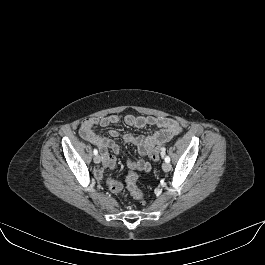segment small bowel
<instances>
[{
	"label": "small bowel",
	"mask_w": 265,
	"mask_h": 265,
	"mask_svg": "<svg viewBox=\"0 0 265 265\" xmlns=\"http://www.w3.org/2000/svg\"><path fill=\"white\" fill-rule=\"evenodd\" d=\"M120 118L116 114L103 116V117H93L85 120L81 127V136L88 142L98 146L102 151V160L105 167L113 168L115 166L116 160L114 155L107 152L111 150L115 154H119L120 146L112 139L104 138L98 135L93 128L97 125L101 127H107L110 125H115L119 123ZM125 122L127 125L143 128L146 126L157 127L158 130L148 136L126 134L123 140L126 144L134 145L140 155L146 156L150 155L151 151L160 145L165 144L173 136L177 135L181 131V127L177 121L158 116H135L127 115L125 117ZM111 138H116L119 133L115 129L109 131ZM128 168L134 171L149 172L151 170V164L145 160H129L127 162ZM95 176L98 179L102 177L101 169L95 170Z\"/></svg>",
	"instance_id": "obj_1"
}]
</instances>
